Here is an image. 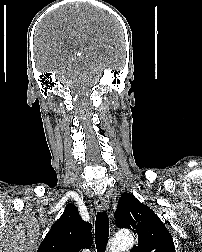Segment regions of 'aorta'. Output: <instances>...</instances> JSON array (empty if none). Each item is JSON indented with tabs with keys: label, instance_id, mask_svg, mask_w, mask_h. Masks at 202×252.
Here are the masks:
<instances>
[{
	"label": "aorta",
	"instance_id": "1",
	"mask_svg": "<svg viewBox=\"0 0 202 252\" xmlns=\"http://www.w3.org/2000/svg\"><path fill=\"white\" fill-rule=\"evenodd\" d=\"M134 244V238L129 231H120L111 240L110 252H126Z\"/></svg>",
	"mask_w": 202,
	"mask_h": 252
}]
</instances>
